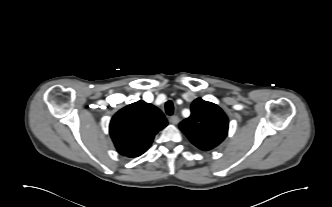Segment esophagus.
<instances>
[{"mask_svg":"<svg viewBox=\"0 0 332 207\" xmlns=\"http://www.w3.org/2000/svg\"><path fill=\"white\" fill-rule=\"evenodd\" d=\"M169 122H170L171 124H174V125L178 124V123H179V118H178V116H176V115L171 116V117L169 118Z\"/></svg>","mask_w":332,"mask_h":207,"instance_id":"1","label":"esophagus"}]
</instances>
